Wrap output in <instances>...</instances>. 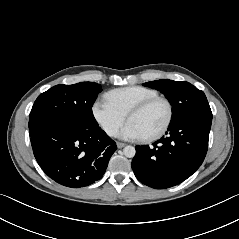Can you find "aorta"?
<instances>
[{"mask_svg":"<svg viewBox=\"0 0 239 239\" xmlns=\"http://www.w3.org/2000/svg\"><path fill=\"white\" fill-rule=\"evenodd\" d=\"M123 154L128 158H133L136 154V150L133 146H125L123 149Z\"/></svg>","mask_w":239,"mask_h":239,"instance_id":"762f6f07","label":"aorta"}]
</instances>
